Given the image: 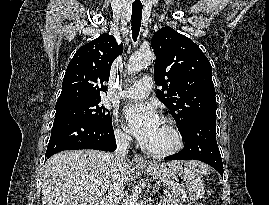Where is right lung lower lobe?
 I'll return each instance as SVG.
<instances>
[{
  "label": "right lung lower lobe",
  "mask_w": 269,
  "mask_h": 205,
  "mask_svg": "<svg viewBox=\"0 0 269 205\" xmlns=\"http://www.w3.org/2000/svg\"><path fill=\"white\" fill-rule=\"evenodd\" d=\"M71 149L114 151L116 143L112 122L101 124L83 119L54 121L46 159L55 153Z\"/></svg>",
  "instance_id": "1"
}]
</instances>
